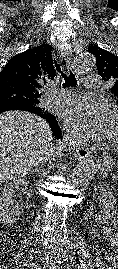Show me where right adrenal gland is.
Returning a JSON list of instances; mask_svg holds the SVG:
<instances>
[{"instance_id":"2a0ac1e0","label":"right adrenal gland","mask_w":118,"mask_h":269,"mask_svg":"<svg viewBox=\"0 0 118 269\" xmlns=\"http://www.w3.org/2000/svg\"><path fill=\"white\" fill-rule=\"evenodd\" d=\"M42 168V165L36 166L34 170H32V172H35L36 174L40 173V170Z\"/></svg>"}]
</instances>
